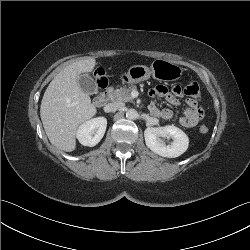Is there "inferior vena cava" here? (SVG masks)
Listing matches in <instances>:
<instances>
[{
  "label": "inferior vena cava",
  "mask_w": 250,
  "mask_h": 250,
  "mask_svg": "<svg viewBox=\"0 0 250 250\" xmlns=\"http://www.w3.org/2000/svg\"><path fill=\"white\" fill-rule=\"evenodd\" d=\"M123 106L122 103L120 102H113V103H109L104 107V111L109 113V112H115L118 109H120Z\"/></svg>",
  "instance_id": "602c4592"
}]
</instances>
